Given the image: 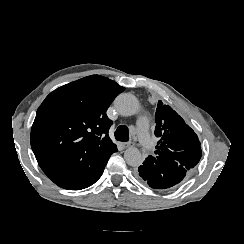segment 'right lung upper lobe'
Here are the masks:
<instances>
[{
	"label": "right lung upper lobe",
	"instance_id": "obj_1",
	"mask_svg": "<svg viewBox=\"0 0 244 244\" xmlns=\"http://www.w3.org/2000/svg\"><path fill=\"white\" fill-rule=\"evenodd\" d=\"M124 87L91 75L51 92L37 110L31 129V147L39 166L50 178L86 159L114 148L106 111Z\"/></svg>",
	"mask_w": 244,
	"mask_h": 244
}]
</instances>
